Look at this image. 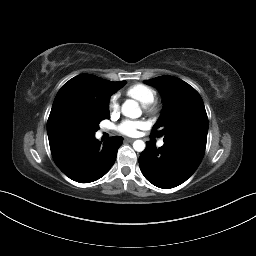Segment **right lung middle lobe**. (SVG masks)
Returning a JSON list of instances; mask_svg holds the SVG:
<instances>
[{"label": "right lung middle lobe", "instance_id": "right-lung-middle-lobe-1", "mask_svg": "<svg viewBox=\"0 0 256 256\" xmlns=\"http://www.w3.org/2000/svg\"><path fill=\"white\" fill-rule=\"evenodd\" d=\"M126 84V81H119L116 90ZM109 118V110L94 111L89 115H81L75 112L65 114L61 120L60 136L75 135L86 136L93 135L99 129V123L103 119Z\"/></svg>", "mask_w": 256, "mask_h": 256}]
</instances>
